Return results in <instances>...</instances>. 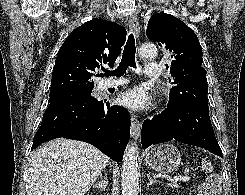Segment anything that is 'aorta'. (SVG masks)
<instances>
[{"label": "aorta", "mask_w": 245, "mask_h": 195, "mask_svg": "<svg viewBox=\"0 0 245 195\" xmlns=\"http://www.w3.org/2000/svg\"><path fill=\"white\" fill-rule=\"evenodd\" d=\"M139 54L143 58L155 57L156 47L153 44H143L139 48ZM137 157V147L133 144L128 146L124 154L121 173L122 195H138L139 165Z\"/></svg>", "instance_id": "obj_1"}]
</instances>
